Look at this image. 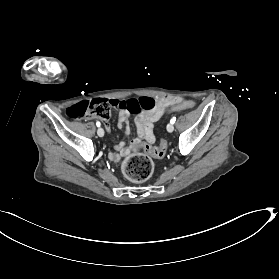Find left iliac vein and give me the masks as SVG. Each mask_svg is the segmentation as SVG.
<instances>
[{"label":"left iliac vein","instance_id":"left-iliac-vein-1","mask_svg":"<svg viewBox=\"0 0 279 279\" xmlns=\"http://www.w3.org/2000/svg\"><path fill=\"white\" fill-rule=\"evenodd\" d=\"M173 130H174L173 124H172V123H169V124L167 125V131H168V132H173Z\"/></svg>","mask_w":279,"mask_h":279}]
</instances>
